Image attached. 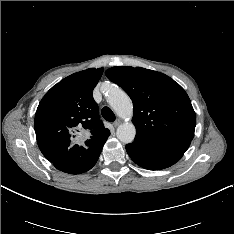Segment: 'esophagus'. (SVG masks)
I'll return each instance as SVG.
<instances>
[{"instance_id":"34e87169","label":"esophagus","mask_w":234,"mask_h":234,"mask_svg":"<svg viewBox=\"0 0 234 234\" xmlns=\"http://www.w3.org/2000/svg\"><path fill=\"white\" fill-rule=\"evenodd\" d=\"M120 123H121V120H120V119H116V120L113 122V125H114V127H117V126L120 125Z\"/></svg>"}]
</instances>
